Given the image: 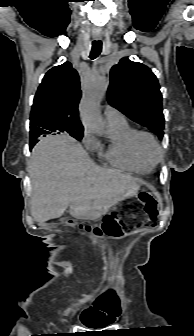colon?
<instances>
[{
	"mask_svg": "<svg viewBox=\"0 0 194 336\" xmlns=\"http://www.w3.org/2000/svg\"><path fill=\"white\" fill-rule=\"evenodd\" d=\"M140 212L145 214V218L140 216ZM156 217L154 198L147 192H141L137 198L124 201L118 210L106 215L101 225L93 228V232L98 236L120 238L133 228L151 225Z\"/></svg>",
	"mask_w": 194,
	"mask_h": 336,
	"instance_id": "obj_1",
	"label": "colon"
}]
</instances>
